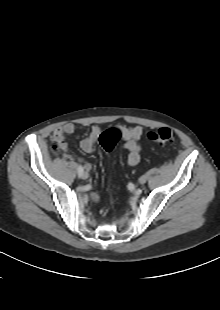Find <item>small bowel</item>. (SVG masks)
<instances>
[{
	"label": "small bowel",
	"mask_w": 220,
	"mask_h": 310,
	"mask_svg": "<svg viewBox=\"0 0 220 310\" xmlns=\"http://www.w3.org/2000/svg\"><path fill=\"white\" fill-rule=\"evenodd\" d=\"M119 129L122 133V138L125 141L123 148L128 152L127 164L129 166H135L140 162V139L143 135V128L141 126H119ZM74 131L75 126L72 123H67L61 127L56 128L52 135L54 144H56L66 156H68V144L66 141V136L74 133ZM100 134L101 128L99 126H93L88 135L80 142V148L86 153L93 152ZM84 167L88 172L91 170V165L89 163H84ZM92 200L98 201L99 197L96 194H93Z\"/></svg>",
	"instance_id": "obj_1"
}]
</instances>
